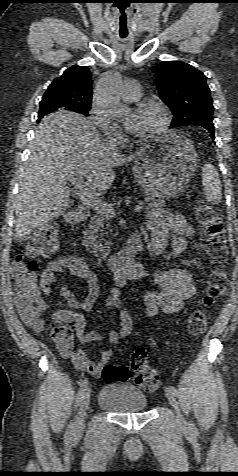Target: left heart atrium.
<instances>
[{"mask_svg": "<svg viewBox=\"0 0 238 476\" xmlns=\"http://www.w3.org/2000/svg\"><path fill=\"white\" fill-rule=\"evenodd\" d=\"M137 121H138V117L137 116H133L132 118L128 119L127 122H126V125L127 127L133 131L136 124H137Z\"/></svg>", "mask_w": 238, "mask_h": 476, "instance_id": "left-heart-atrium-1", "label": "left heart atrium"}]
</instances>
